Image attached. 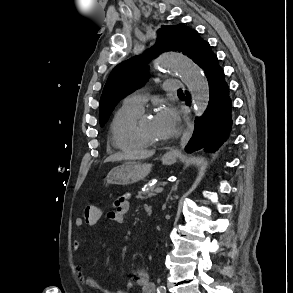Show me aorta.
Listing matches in <instances>:
<instances>
[{"mask_svg": "<svg viewBox=\"0 0 293 293\" xmlns=\"http://www.w3.org/2000/svg\"><path fill=\"white\" fill-rule=\"evenodd\" d=\"M156 65L160 70L179 75L191 93L195 113L201 116L209 102V86L201 69L187 57L174 52L162 54Z\"/></svg>", "mask_w": 293, "mask_h": 293, "instance_id": "aorta-1", "label": "aorta"}]
</instances>
